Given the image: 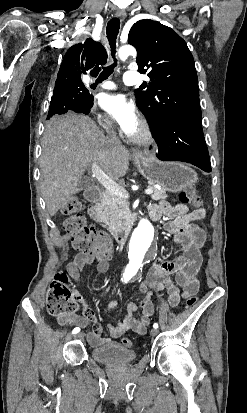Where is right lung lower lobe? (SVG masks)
<instances>
[{
	"label": "right lung lower lobe",
	"mask_w": 247,
	"mask_h": 413,
	"mask_svg": "<svg viewBox=\"0 0 247 413\" xmlns=\"http://www.w3.org/2000/svg\"><path fill=\"white\" fill-rule=\"evenodd\" d=\"M93 99L90 93L83 96L52 97L47 120L53 115L64 114L69 110H73L76 113L89 114L93 106Z\"/></svg>",
	"instance_id": "right-lung-lower-lobe-1"
}]
</instances>
